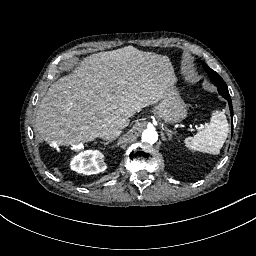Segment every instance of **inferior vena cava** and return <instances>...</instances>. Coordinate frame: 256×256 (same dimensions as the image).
Instances as JSON below:
<instances>
[{
	"label": "inferior vena cava",
	"instance_id": "obj_1",
	"mask_svg": "<svg viewBox=\"0 0 256 256\" xmlns=\"http://www.w3.org/2000/svg\"><path fill=\"white\" fill-rule=\"evenodd\" d=\"M121 133L120 129H111L109 131H104L101 133L100 138L102 139H114Z\"/></svg>",
	"mask_w": 256,
	"mask_h": 256
}]
</instances>
